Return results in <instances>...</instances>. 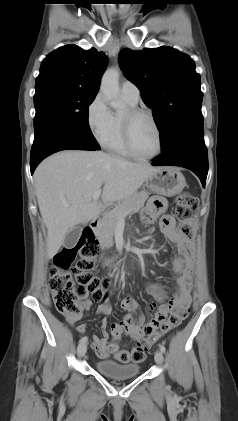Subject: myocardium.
Listing matches in <instances>:
<instances>
[{"mask_svg": "<svg viewBox=\"0 0 238 421\" xmlns=\"http://www.w3.org/2000/svg\"><path fill=\"white\" fill-rule=\"evenodd\" d=\"M138 116L148 117L150 119V121L152 122V124L154 125L155 130L157 132L158 149L153 155H151L149 157H144V156L138 154L136 152V150L134 149V146H133V143H132L131 126H132L133 120ZM121 124H122L123 140H124V143H125V146H126L127 150L132 155V157H134V158H136L140 161L149 162V161H152L155 158H157L162 153V150H163L162 131H161V128H160L156 118L154 117V115L150 111H148L146 109H142V108L131 107L127 110L126 114H123L121 116Z\"/></svg>", "mask_w": 238, "mask_h": 421, "instance_id": "1", "label": "myocardium"}]
</instances>
